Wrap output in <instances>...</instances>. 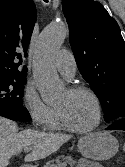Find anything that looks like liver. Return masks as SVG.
I'll return each instance as SVG.
<instances>
[{"label": "liver", "instance_id": "6515ba94", "mask_svg": "<svg viewBox=\"0 0 125 167\" xmlns=\"http://www.w3.org/2000/svg\"><path fill=\"white\" fill-rule=\"evenodd\" d=\"M70 139V135L32 129L19 132L16 122L0 117V167H6L10 158L25 147H32L25 156V161L30 162L48 157Z\"/></svg>", "mask_w": 125, "mask_h": 167}]
</instances>
